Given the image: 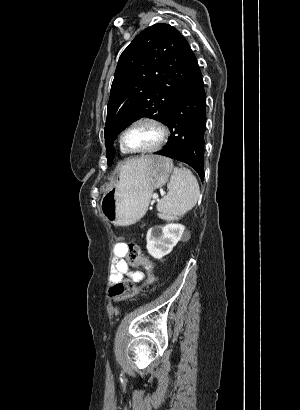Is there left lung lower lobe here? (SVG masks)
I'll return each instance as SVG.
<instances>
[{"label":"left lung lower lobe","instance_id":"left-lung-lower-lobe-1","mask_svg":"<svg viewBox=\"0 0 300 410\" xmlns=\"http://www.w3.org/2000/svg\"><path fill=\"white\" fill-rule=\"evenodd\" d=\"M163 123L171 135L155 154L189 164L203 179L206 95L197 59Z\"/></svg>","mask_w":300,"mask_h":410}]
</instances>
